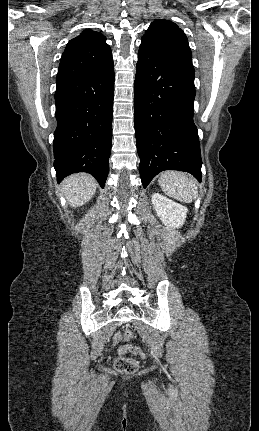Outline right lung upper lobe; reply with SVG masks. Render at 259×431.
<instances>
[{
	"instance_id": "1",
	"label": "right lung upper lobe",
	"mask_w": 259,
	"mask_h": 431,
	"mask_svg": "<svg viewBox=\"0 0 259 431\" xmlns=\"http://www.w3.org/2000/svg\"><path fill=\"white\" fill-rule=\"evenodd\" d=\"M113 66L110 46L99 32L84 30L70 40L62 54L57 81L100 72Z\"/></svg>"
}]
</instances>
